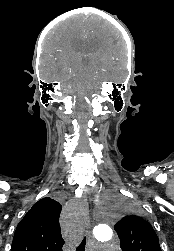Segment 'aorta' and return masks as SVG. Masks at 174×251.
Masks as SVG:
<instances>
[{"label":"aorta","mask_w":174,"mask_h":251,"mask_svg":"<svg viewBox=\"0 0 174 251\" xmlns=\"http://www.w3.org/2000/svg\"><path fill=\"white\" fill-rule=\"evenodd\" d=\"M112 220V211L101 206L99 208L98 219L96 220L93 230L94 238L97 242L106 243L112 239Z\"/></svg>","instance_id":"1"}]
</instances>
